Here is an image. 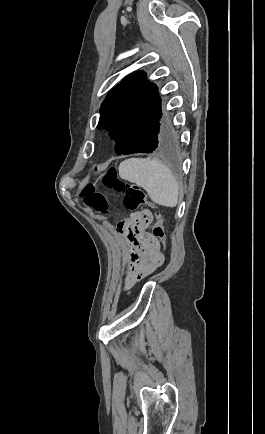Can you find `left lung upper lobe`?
I'll return each instance as SVG.
<instances>
[{
    "instance_id": "obj_1",
    "label": "left lung upper lobe",
    "mask_w": 265,
    "mask_h": 434,
    "mask_svg": "<svg viewBox=\"0 0 265 434\" xmlns=\"http://www.w3.org/2000/svg\"><path fill=\"white\" fill-rule=\"evenodd\" d=\"M97 129L106 130L116 146L129 137L166 122L157 87L144 72L128 75L103 101Z\"/></svg>"
}]
</instances>
